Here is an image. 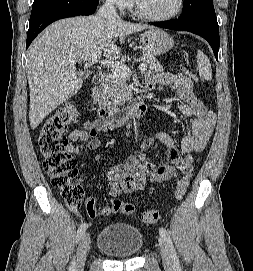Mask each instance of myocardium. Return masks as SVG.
<instances>
[{
    "mask_svg": "<svg viewBox=\"0 0 253 271\" xmlns=\"http://www.w3.org/2000/svg\"><path fill=\"white\" fill-rule=\"evenodd\" d=\"M132 2L134 5L135 13L139 17H141L145 20H148V21H153V22H166V21H170V20L176 18L183 11L184 4H185L184 0H177V6L173 12H171L170 14H167V15H163V16H155V15H151V14H148L147 12H145V10L143 9V7L141 5L140 0H132Z\"/></svg>",
    "mask_w": 253,
    "mask_h": 271,
    "instance_id": "obj_1",
    "label": "myocardium"
}]
</instances>
